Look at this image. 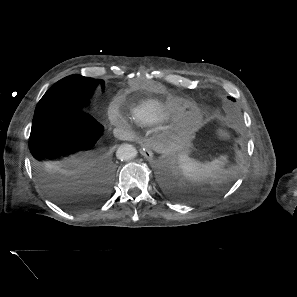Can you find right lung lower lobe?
I'll return each mask as SVG.
<instances>
[{
	"mask_svg": "<svg viewBox=\"0 0 297 297\" xmlns=\"http://www.w3.org/2000/svg\"><path fill=\"white\" fill-rule=\"evenodd\" d=\"M103 126L85 111L68 109L32 124L33 170L47 194L70 210L104 203L113 164L100 144Z\"/></svg>",
	"mask_w": 297,
	"mask_h": 297,
	"instance_id": "right-lung-lower-lobe-1",
	"label": "right lung lower lobe"
}]
</instances>
